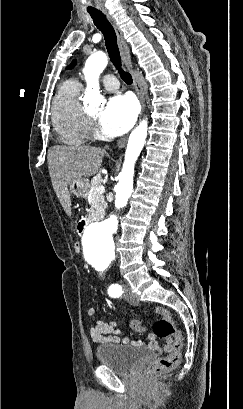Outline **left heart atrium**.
<instances>
[{
    "label": "left heart atrium",
    "instance_id": "1",
    "mask_svg": "<svg viewBox=\"0 0 243 409\" xmlns=\"http://www.w3.org/2000/svg\"><path fill=\"white\" fill-rule=\"evenodd\" d=\"M137 112V105L130 96L111 97L99 115L102 131L109 136L124 134L133 126Z\"/></svg>",
    "mask_w": 243,
    "mask_h": 409
}]
</instances>
